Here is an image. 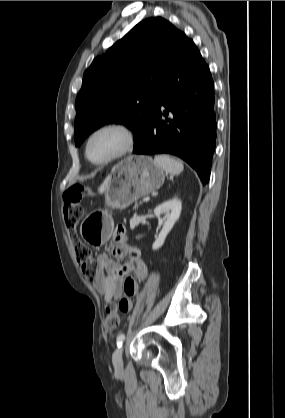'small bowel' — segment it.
<instances>
[{"instance_id":"obj_1","label":"small bowel","mask_w":285,"mask_h":418,"mask_svg":"<svg viewBox=\"0 0 285 418\" xmlns=\"http://www.w3.org/2000/svg\"><path fill=\"white\" fill-rule=\"evenodd\" d=\"M111 250L117 259L128 256L135 265L133 272L130 264L121 265L107 253H101L97 256L98 274L92 282L105 303L118 300L120 309L129 312L132 308V296L140 291L137 281L147 278L148 268L141 258L140 250L128 245L124 232L116 234Z\"/></svg>"}]
</instances>
